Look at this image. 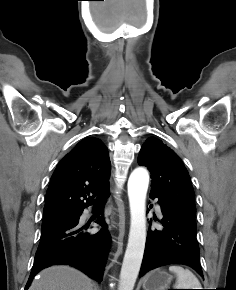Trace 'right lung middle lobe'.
Segmentation results:
<instances>
[{"label":"right lung middle lobe","mask_w":236,"mask_h":290,"mask_svg":"<svg viewBox=\"0 0 236 290\" xmlns=\"http://www.w3.org/2000/svg\"><path fill=\"white\" fill-rule=\"evenodd\" d=\"M78 214H65L59 216L44 217L42 222V231H46L53 227L71 222Z\"/></svg>","instance_id":"right-lung-middle-lobe-1"}]
</instances>
